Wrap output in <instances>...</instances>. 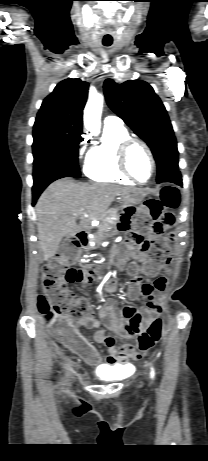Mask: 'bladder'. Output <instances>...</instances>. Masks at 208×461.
Listing matches in <instances>:
<instances>
[{
    "label": "bladder",
    "instance_id": "bladder-1",
    "mask_svg": "<svg viewBox=\"0 0 208 461\" xmlns=\"http://www.w3.org/2000/svg\"><path fill=\"white\" fill-rule=\"evenodd\" d=\"M95 374L98 379L104 381L117 380L122 377L121 366L102 365L96 368Z\"/></svg>",
    "mask_w": 208,
    "mask_h": 461
}]
</instances>
